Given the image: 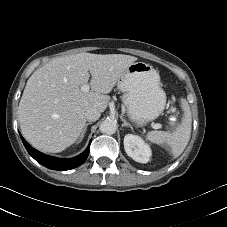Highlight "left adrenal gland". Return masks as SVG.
<instances>
[{
    "mask_svg": "<svg viewBox=\"0 0 227 227\" xmlns=\"http://www.w3.org/2000/svg\"><path fill=\"white\" fill-rule=\"evenodd\" d=\"M120 118L123 121L122 127L128 126V127H130L132 129V126L128 122H126V120L123 117H120Z\"/></svg>",
    "mask_w": 227,
    "mask_h": 227,
    "instance_id": "left-adrenal-gland-1",
    "label": "left adrenal gland"
}]
</instances>
